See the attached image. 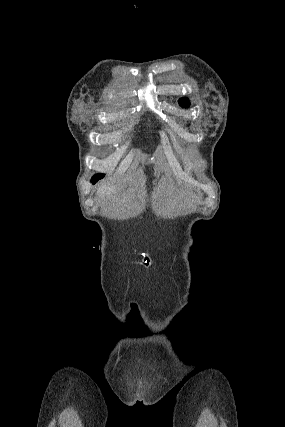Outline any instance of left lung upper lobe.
I'll use <instances>...</instances> for the list:
<instances>
[{
  "label": "left lung upper lobe",
  "instance_id": "obj_1",
  "mask_svg": "<svg viewBox=\"0 0 285 427\" xmlns=\"http://www.w3.org/2000/svg\"><path fill=\"white\" fill-rule=\"evenodd\" d=\"M180 105L182 106V107H188L189 106V100L187 99V98H182V99H180Z\"/></svg>",
  "mask_w": 285,
  "mask_h": 427
}]
</instances>
